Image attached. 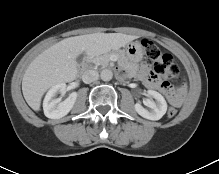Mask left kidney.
Wrapping results in <instances>:
<instances>
[{
	"instance_id": "left-kidney-1",
	"label": "left kidney",
	"mask_w": 219,
	"mask_h": 174,
	"mask_svg": "<svg viewBox=\"0 0 219 174\" xmlns=\"http://www.w3.org/2000/svg\"><path fill=\"white\" fill-rule=\"evenodd\" d=\"M148 98L143 100L145 106L150 109L144 108L141 104H135L136 112L142 116L143 118L149 120H159L167 111V103L164 97L157 91L148 90L147 91ZM154 98L155 101L152 99Z\"/></svg>"
}]
</instances>
